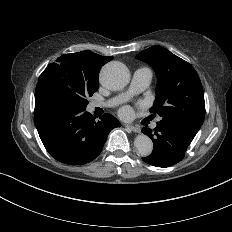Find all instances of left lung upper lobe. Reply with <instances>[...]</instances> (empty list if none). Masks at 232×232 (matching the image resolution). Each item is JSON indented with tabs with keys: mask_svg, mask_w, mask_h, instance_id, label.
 I'll use <instances>...</instances> for the list:
<instances>
[{
	"mask_svg": "<svg viewBox=\"0 0 232 232\" xmlns=\"http://www.w3.org/2000/svg\"><path fill=\"white\" fill-rule=\"evenodd\" d=\"M157 74L156 100L150 112L164 126L193 140L205 117L204 92L196 70L185 60L156 45L136 55Z\"/></svg>",
	"mask_w": 232,
	"mask_h": 232,
	"instance_id": "5c2ea615",
	"label": "left lung upper lobe"
}]
</instances>
